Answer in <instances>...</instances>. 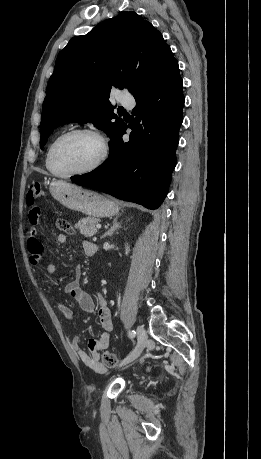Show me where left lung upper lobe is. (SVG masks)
<instances>
[{
  "mask_svg": "<svg viewBox=\"0 0 261 459\" xmlns=\"http://www.w3.org/2000/svg\"><path fill=\"white\" fill-rule=\"evenodd\" d=\"M174 61L162 34L135 12H121L72 38L58 54L46 90L40 147L54 128L71 121L90 120L112 143L124 122L113 113L110 90L127 88L135 96Z\"/></svg>",
  "mask_w": 261,
  "mask_h": 459,
  "instance_id": "obj_1",
  "label": "left lung upper lobe"
}]
</instances>
